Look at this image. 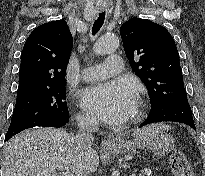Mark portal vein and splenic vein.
I'll return each mask as SVG.
<instances>
[{"label":"portal vein and splenic vein","mask_w":205,"mask_h":176,"mask_svg":"<svg viewBox=\"0 0 205 176\" xmlns=\"http://www.w3.org/2000/svg\"><path fill=\"white\" fill-rule=\"evenodd\" d=\"M66 176H73L72 174L67 173Z\"/></svg>","instance_id":"portal-vein-and-splenic-vein-1"}]
</instances>
